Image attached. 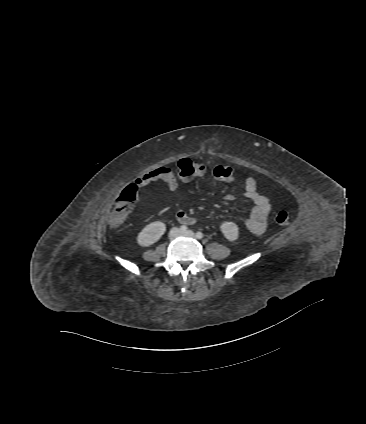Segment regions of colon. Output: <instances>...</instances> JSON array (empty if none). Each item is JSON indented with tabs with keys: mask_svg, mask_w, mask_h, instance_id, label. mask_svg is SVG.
I'll return each mask as SVG.
<instances>
[{
	"mask_svg": "<svg viewBox=\"0 0 366 424\" xmlns=\"http://www.w3.org/2000/svg\"><path fill=\"white\" fill-rule=\"evenodd\" d=\"M207 171L205 165L195 159H182L178 163V175L181 180L188 181L192 178L203 176ZM212 175L219 181L228 182L233 180L235 172L232 166L219 165L212 170ZM137 198V187L131 185L127 187L117 199L114 208L109 216V225L113 229L122 226L128 217L132 204ZM276 220L280 225L288 226L293 221V214L289 211H280Z\"/></svg>",
	"mask_w": 366,
	"mask_h": 424,
	"instance_id": "5ec220e1",
	"label": "colon"
}]
</instances>
